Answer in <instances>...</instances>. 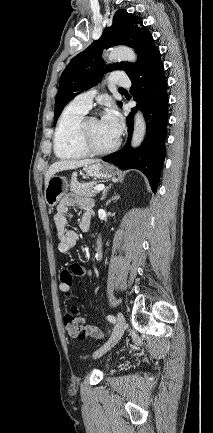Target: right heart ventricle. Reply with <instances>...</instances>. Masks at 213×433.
<instances>
[{
	"mask_svg": "<svg viewBox=\"0 0 213 433\" xmlns=\"http://www.w3.org/2000/svg\"><path fill=\"white\" fill-rule=\"evenodd\" d=\"M87 110L69 104L62 112L54 134V152L61 159H79L88 153L78 140V128Z\"/></svg>",
	"mask_w": 213,
	"mask_h": 433,
	"instance_id": "obj_1",
	"label": "right heart ventricle"
}]
</instances>
